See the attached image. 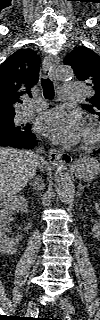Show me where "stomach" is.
Wrapping results in <instances>:
<instances>
[{"label": "stomach", "instance_id": "stomach-1", "mask_svg": "<svg viewBox=\"0 0 100 320\" xmlns=\"http://www.w3.org/2000/svg\"><path fill=\"white\" fill-rule=\"evenodd\" d=\"M73 169L78 179L90 181L98 175L100 162L93 157H83L74 163Z\"/></svg>", "mask_w": 100, "mask_h": 320}]
</instances>
